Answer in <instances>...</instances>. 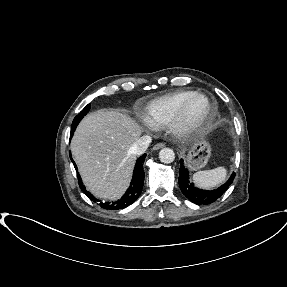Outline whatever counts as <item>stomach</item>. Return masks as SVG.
Segmentation results:
<instances>
[{"mask_svg":"<svg viewBox=\"0 0 287 287\" xmlns=\"http://www.w3.org/2000/svg\"><path fill=\"white\" fill-rule=\"evenodd\" d=\"M211 156V146L205 140L194 143L186 155V164L191 170L203 168Z\"/></svg>","mask_w":287,"mask_h":287,"instance_id":"0dacf381","label":"stomach"}]
</instances>
